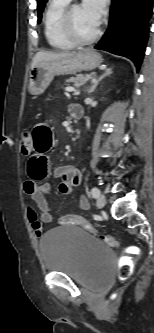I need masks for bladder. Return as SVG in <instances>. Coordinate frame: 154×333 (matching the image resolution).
<instances>
[{
  "label": "bladder",
  "mask_w": 154,
  "mask_h": 333,
  "mask_svg": "<svg viewBox=\"0 0 154 333\" xmlns=\"http://www.w3.org/2000/svg\"><path fill=\"white\" fill-rule=\"evenodd\" d=\"M39 249L46 270L86 284L108 282L115 265L113 250L77 224L47 231L39 240Z\"/></svg>",
  "instance_id": "bladder-1"
}]
</instances>
